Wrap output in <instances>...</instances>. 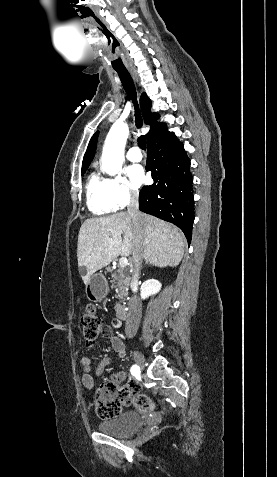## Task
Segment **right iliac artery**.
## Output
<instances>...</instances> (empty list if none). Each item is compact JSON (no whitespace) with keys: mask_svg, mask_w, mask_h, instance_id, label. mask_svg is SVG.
I'll return each instance as SVG.
<instances>
[{"mask_svg":"<svg viewBox=\"0 0 277 477\" xmlns=\"http://www.w3.org/2000/svg\"><path fill=\"white\" fill-rule=\"evenodd\" d=\"M137 372H139V367H138L137 365H133V366L131 367V373H132V374H135V373H137Z\"/></svg>","mask_w":277,"mask_h":477,"instance_id":"obj_1","label":"right iliac artery"}]
</instances>
